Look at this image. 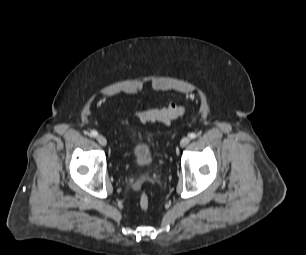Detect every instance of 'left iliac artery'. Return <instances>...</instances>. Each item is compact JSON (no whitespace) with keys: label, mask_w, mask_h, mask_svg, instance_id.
Listing matches in <instances>:
<instances>
[{"label":"left iliac artery","mask_w":306,"mask_h":255,"mask_svg":"<svg viewBox=\"0 0 306 255\" xmlns=\"http://www.w3.org/2000/svg\"><path fill=\"white\" fill-rule=\"evenodd\" d=\"M189 137H190L191 139H195V138L197 137V135H196V133H190V134H189Z\"/></svg>","instance_id":"1"}]
</instances>
